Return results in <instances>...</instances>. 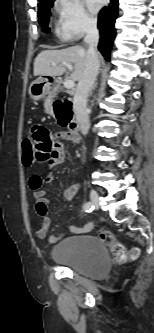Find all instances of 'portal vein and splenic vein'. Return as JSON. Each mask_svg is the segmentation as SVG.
Here are the masks:
<instances>
[{
    "label": "portal vein and splenic vein",
    "mask_w": 154,
    "mask_h": 333,
    "mask_svg": "<svg viewBox=\"0 0 154 333\" xmlns=\"http://www.w3.org/2000/svg\"><path fill=\"white\" fill-rule=\"evenodd\" d=\"M53 66H55V64H52ZM63 66L67 67L70 71L73 70V67L70 63H67V62H63L62 63ZM75 86V82L74 80H71V79H68L64 82V87L66 89H72L73 87Z\"/></svg>",
    "instance_id": "18ae733b"
}]
</instances>
